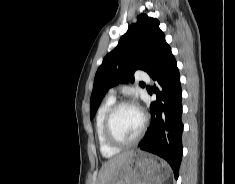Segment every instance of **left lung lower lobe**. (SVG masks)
I'll use <instances>...</instances> for the list:
<instances>
[{
  "mask_svg": "<svg viewBox=\"0 0 235 184\" xmlns=\"http://www.w3.org/2000/svg\"><path fill=\"white\" fill-rule=\"evenodd\" d=\"M149 76L157 100L151 103V126L139 148L165 159L175 178L182 160V90L177 63L164 40L158 47Z\"/></svg>",
  "mask_w": 235,
  "mask_h": 184,
  "instance_id": "0a47b994",
  "label": "left lung lower lobe"
}]
</instances>
